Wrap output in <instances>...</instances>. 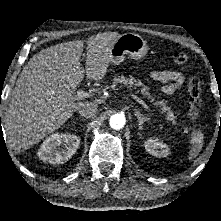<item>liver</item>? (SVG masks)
Returning <instances> with one entry per match:
<instances>
[{
	"mask_svg": "<svg viewBox=\"0 0 221 221\" xmlns=\"http://www.w3.org/2000/svg\"><path fill=\"white\" fill-rule=\"evenodd\" d=\"M120 36L104 32L41 50L21 72L5 117L10 147L21 153L60 128L83 104L72 99L83 80L100 81L110 63V49ZM87 44L86 66L80 58Z\"/></svg>",
	"mask_w": 221,
	"mask_h": 221,
	"instance_id": "liver-1",
	"label": "liver"
}]
</instances>
